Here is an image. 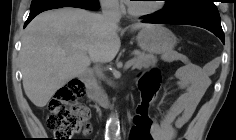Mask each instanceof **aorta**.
Instances as JSON below:
<instances>
[{
	"instance_id": "aorta-1",
	"label": "aorta",
	"mask_w": 236,
	"mask_h": 140,
	"mask_svg": "<svg viewBox=\"0 0 236 140\" xmlns=\"http://www.w3.org/2000/svg\"><path fill=\"white\" fill-rule=\"evenodd\" d=\"M119 118L117 113H112L106 124V137L116 140L119 137Z\"/></svg>"
}]
</instances>
